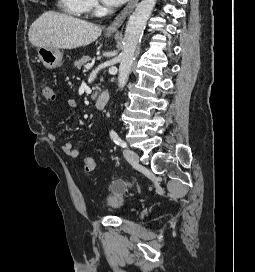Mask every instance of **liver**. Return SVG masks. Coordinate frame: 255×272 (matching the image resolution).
<instances>
[{"instance_id":"obj_1","label":"liver","mask_w":255,"mask_h":272,"mask_svg":"<svg viewBox=\"0 0 255 272\" xmlns=\"http://www.w3.org/2000/svg\"><path fill=\"white\" fill-rule=\"evenodd\" d=\"M102 32L101 26L55 11L44 12L28 32L35 47L75 49L94 42Z\"/></svg>"}]
</instances>
